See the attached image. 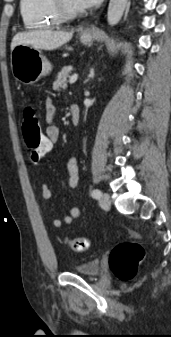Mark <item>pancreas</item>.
I'll use <instances>...</instances> for the list:
<instances>
[{
	"label": "pancreas",
	"instance_id": "cf45deb5",
	"mask_svg": "<svg viewBox=\"0 0 171 337\" xmlns=\"http://www.w3.org/2000/svg\"><path fill=\"white\" fill-rule=\"evenodd\" d=\"M71 67H63L62 70L58 73L55 82L53 83V89L55 91H60L61 89L66 88L67 78L69 77Z\"/></svg>",
	"mask_w": 171,
	"mask_h": 337
}]
</instances>
